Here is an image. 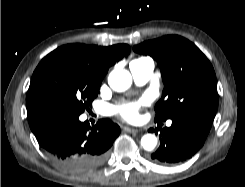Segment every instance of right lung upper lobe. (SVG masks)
I'll return each instance as SVG.
<instances>
[{"label":"right lung upper lobe","mask_w":245,"mask_h":187,"mask_svg":"<svg viewBox=\"0 0 245 187\" xmlns=\"http://www.w3.org/2000/svg\"><path fill=\"white\" fill-rule=\"evenodd\" d=\"M61 48L79 53L84 61L91 67L94 74L102 79L111 65L130 52V47L126 44H118L110 47L69 44Z\"/></svg>","instance_id":"1"}]
</instances>
